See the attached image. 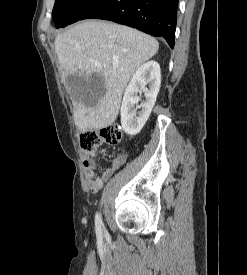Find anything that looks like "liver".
Instances as JSON below:
<instances>
[{
	"label": "liver",
	"mask_w": 247,
	"mask_h": 275,
	"mask_svg": "<svg viewBox=\"0 0 247 275\" xmlns=\"http://www.w3.org/2000/svg\"><path fill=\"white\" fill-rule=\"evenodd\" d=\"M159 43L136 29L101 20H87L58 34L55 50L65 83L74 73L101 75L104 93H95L88 103L69 88L74 122L82 131L112 125L119 113L122 93L131 76L153 57Z\"/></svg>",
	"instance_id": "liver-1"
}]
</instances>
